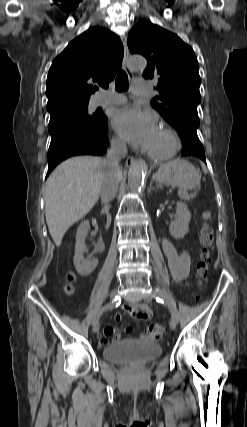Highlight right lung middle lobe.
Wrapping results in <instances>:
<instances>
[{
  "label": "right lung middle lobe",
  "mask_w": 247,
  "mask_h": 427,
  "mask_svg": "<svg viewBox=\"0 0 247 427\" xmlns=\"http://www.w3.org/2000/svg\"><path fill=\"white\" fill-rule=\"evenodd\" d=\"M53 115H66L75 117L91 125H101L106 121L104 114H88V105L65 107L50 116Z\"/></svg>",
  "instance_id": "right-lung-middle-lobe-1"
}]
</instances>
